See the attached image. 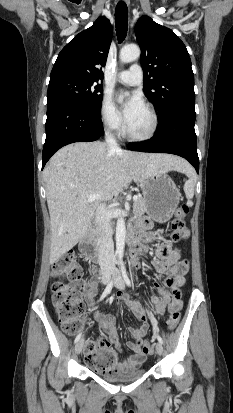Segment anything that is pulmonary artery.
Returning a JSON list of instances; mask_svg holds the SVG:
<instances>
[{"instance_id": "obj_1", "label": "pulmonary artery", "mask_w": 233, "mask_h": 413, "mask_svg": "<svg viewBox=\"0 0 233 413\" xmlns=\"http://www.w3.org/2000/svg\"><path fill=\"white\" fill-rule=\"evenodd\" d=\"M143 73L138 64H133L128 70L117 75V80L126 85H139L142 82Z\"/></svg>"}]
</instances>
